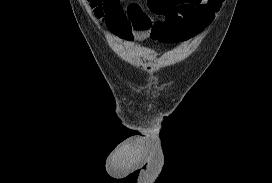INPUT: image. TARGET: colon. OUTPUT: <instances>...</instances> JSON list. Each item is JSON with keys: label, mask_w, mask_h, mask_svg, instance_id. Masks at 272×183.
Segmentation results:
<instances>
[{"label": "colon", "mask_w": 272, "mask_h": 183, "mask_svg": "<svg viewBox=\"0 0 272 183\" xmlns=\"http://www.w3.org/2000/svg\"><path fill=\"white\" fill-rule=\"evenodd\" d=\"M90 6L94 9L95 14L101 17L102 6L105 0H88Z\"/></svg>", "instance_id": "1"}]
</instances>
